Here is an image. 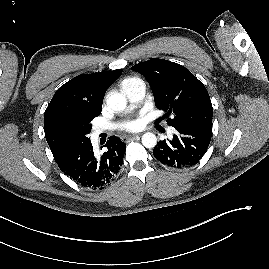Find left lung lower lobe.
<instances>
[{
  "instance_id": "left-lung-lower-lobe-1",
  "label": "left lung lower lobe",
  "mask_w": 269,
  "mask_h": 269,
  "mask_svg": "<svg viewBox=\"0 0 269 269\" xmlns=\"http://www.w3.org/2000/svg\"><path fill=\"white\" fill-rule=\"evenodd\" d=\"M177 134L170 141H160L153 149L154 157L169 167L183 169L197 164L206 153L212 125L192 124L175 127Z\"/></svg>"
}]
</instances>
